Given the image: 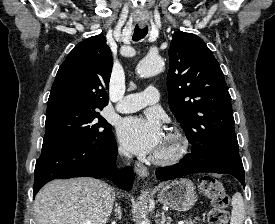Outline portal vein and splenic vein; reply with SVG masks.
Segmentation results:
<instances>
[{"label":"portal vein and splenic vein","mask_w":275,"mask_h":224,"mask_svg":"<svg viewBox=\"0 0 275 224\" xmlns=\"http://www.w3.org/2000/svg\"><path fill=\"white\" fill-rule=\"evenodd\" d=\"M86 224H90V223H86ZM178 224H184V221H180L178 222Z\"/></svg>","instance_id":"obj_1"}]
</instances>
